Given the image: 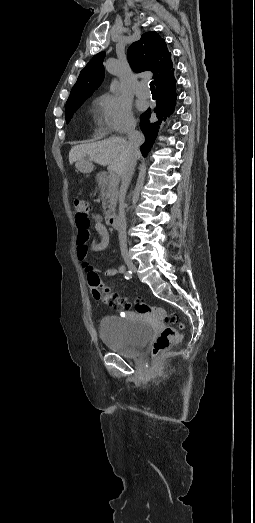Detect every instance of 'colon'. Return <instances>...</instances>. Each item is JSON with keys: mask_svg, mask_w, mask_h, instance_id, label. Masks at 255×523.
Segmentation results:
<instances>
[{"mask_svg": "<svg viewBox=\"0 0 255 523\" xmlns=\"http://www.w3.org/2000/svg\"><path fill=\"white\" fill-rule=\"evenodd\" d=\"M74 208L77 225L87 226L89 224V203L83 199H75ZM88 283L93 297L96 300L104 301L111 306H127L119 296L110 292L102 285L97 273L91 272L88 274ZM135 310L140 314H147L160 319L167 324L178 325V328L168 325L162 328L152 346L151 352L153 356H158L171 345L176 344L183 339L182 330L184 329V325L180 322L179 317L176 314L170 313L164 308L150 306L142 302L135 304Z\"/></svg>", "mask_w": 255, "mask_h": 523, "instance_id": "obj_1", "label": "colon"}]
</instances>
